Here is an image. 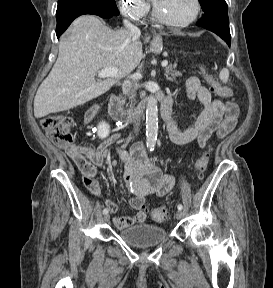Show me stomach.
<instances>
[{
  "label": "stomach",
  "mask_w": 273,
  "mask_h": 288,
  "mask_svg": "<svg viewBox=\"0 0 273 288\" xmlns=\"http://www.w3.org/2000/svg\"><path fill=\"white\" fill-rule=\"evenodd\" d=\"M150 50L154 53H160L162 50V38L157 36L153 39L150 45Z\"/></svg>",
  "instance_id": "0dacf381"
}]
</instances>
